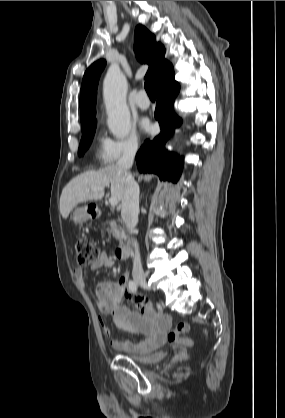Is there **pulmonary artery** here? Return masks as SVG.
Instances as JSON below:
<instances>
[{"label":"pulmonary artery","instance_id":"obj_1","mask_svg":"<svg viewBox=\"0 0 285 418\" xmlns=\"http://www.w3.org/2000/svg\"><path fill=\"white\" fill-rule=\"evenodd\" d=\"M134 104L141 109H147L150 106V100L144 91H140L133 100Z\"/></svg>","mask_w":285,"mask_h":418}]
</instances>
